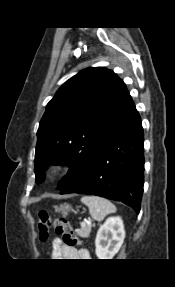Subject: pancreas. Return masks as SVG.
<instances>
[{"label": "pancreas", "instance_id": "pancreas-1", "mask_svg": "<svg viewBox=\"0 0 175 287\" xmlns=\"http://www.w3.org/2000/svg\"><path fill=\"white\" fill-rule=\"evenodd\" d=\"M90 232H91V225H86V226L81 227V229L78 230V235L80 237L87 238L89 237Z\"/></svg>", "mask_w": 175, "mask_h": 287}]
</instances>
